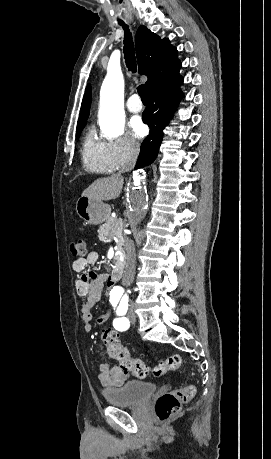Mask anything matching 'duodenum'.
Instances as JSON below:
<instances>
[{
    "mask_svg": "<svg viewBox=\"0 0 271 459\" xmlns=\"http://www.w3.org/2000/svg\"><path fill=\"white\" fill-rule=\"evenodd\" d=\"M123 272L124 268L122 263H116L110 275L111 284L119 282L122 279Z\"/></svg>",
    "mask_w": 271,
    "mask_h": 459,
    "instance_id": "1",
    "label": "duodenum"
}]
</instances>
